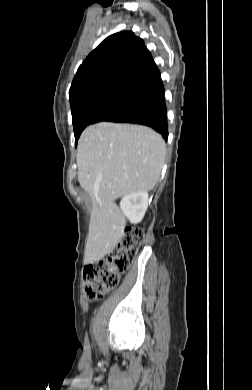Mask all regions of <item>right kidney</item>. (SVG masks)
<instances>
[{
	"label": "right kidney",
	"instance_id": "obj_1",
	"mask_svg": "<svg viewBox=\"0 0 252 390\" xmlns=\"http://www.w3.org/2000/svg\"><path fill=\"white\" fill-rule=\"evenodd\" d=\"M148 199L147 191L133 192L122 198L120 208L131 223L137 224L145 215L148 207Z\"/></svg>",
	"mask_w": 252,
	"mask_h": 390
}]
</instances>
